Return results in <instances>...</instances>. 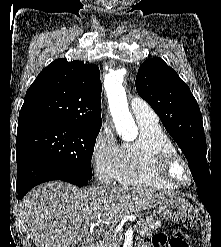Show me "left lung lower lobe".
I'll return each mask as SVG.
<instances>
[{
    "instance_id": "0a47b994",
    "label": "left lung lower lobe",
    "mask_w": 221,
    "mask_h": 247,
    "mask_svg": "<svg viewBox=\"0 0 221 247\" xmlns=\"http://www.w3.org/2000/svg\"><path fill=\"white\" fill-rule=\"evenodd\" d=\"M198 197L203 203V205L206 207L207 210H209L210 203L212 200V190L211 188H198L197 189Z\"/></svg>"
}]
</instances>
